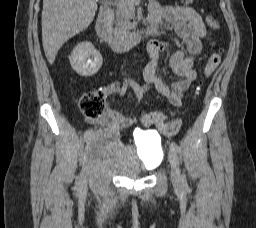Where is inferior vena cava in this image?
Instances as JSON below:
<instances>
[{"mask_svg": "<svg viewBox=\"0 0 256 228\" xmlns=\"http://www.w3.org/2000/svg\"><path fill=\"white\" fill-rule=\"evenodd\" d=\"M108 20H109L110 24L113 23L114 13L112 11H110L109 14H108Z\"/></svg>", "mask_w": 256, "mask_h": 228, "instance_id": "obj_1", "label": "inferior vena cava"}]
</instances>
